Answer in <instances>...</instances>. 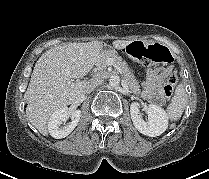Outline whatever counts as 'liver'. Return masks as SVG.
<instances>
[{
  "label": "liver",
  "mask_w": 209,
  "mask_h": 179,
  "mask_svg": "<svg viewBox=\"0 0 209 179\" xmlns=\"http://www.w3.org/2000/svg\"><path fill=\"white\" fill-rule=\"evenodd\" d=\"M132 41L115 40L113 48L120 50ZM100 41L69 43L53 47L37 60L28 88L26 116L44 136L52 114L83 97L86 81L72 82L87 75L104 55Z\"/></svg>",
  "instance_id": "liver-1"
}]
</instances>
